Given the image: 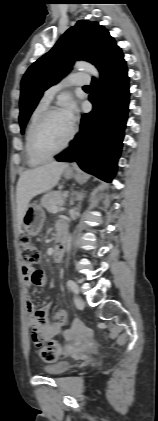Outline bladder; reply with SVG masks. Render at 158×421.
Masks as SVG:
<instances>
[{
	"label": "bladder",
	"instance_id": "bladder-1",
	"mask_svg": "<svg viewBox=\"0 0 158 421\" xmlns=\"http://www.w3.org/2000/svg\"><path fill=\"white\" fill-rule=\"evenodd\" d=\"M71 368V363L68 360H61L53 362L49 365L43 366L44 373L52 376L62 375Z\"/></svg>",
	"mask_w": 158,
	"mask_h": 421
}]
</instances>
